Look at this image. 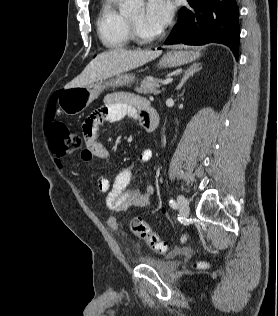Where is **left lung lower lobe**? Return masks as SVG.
<instances>
[{
    "mask_svg": "<svg viewBox=\"0 0 278 316\" xmlns=\"http://www.w3.org/2000/svg\"><path fill=\"white\" fill-rule=\"evenodd\" d=\"M179 12L177 25L165 44L228 46L236 59L239 48V8L236 0H187Z\"/></svg>",
    "mask_w": 278,
    "mask_h": 316,
    "instance_id": "obj_1",
    "label": "left lung lower lobe"
}]
</instances>
